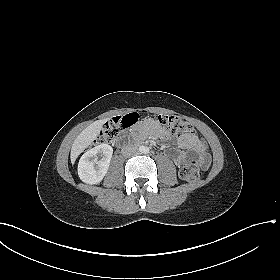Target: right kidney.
Instances as JSON below:
<instances>
[{"label": "right kidney", "mask_w": 280, "mask_h": 280, "mask_svg": "<svg viewBox=\"0 0 280 280\" xmlns=\"http://www.w3.org/2000/svg\"><path fill=\"white\" fill-rule=\"evenodd\" d=\"M112 154V147L104 143L85 152L78 164L79 178L90 185L99 184L109 169ZM98 156L102 157L100 161Z\"/></svg>", "instance_id": "obj_1"}]
</instances>
